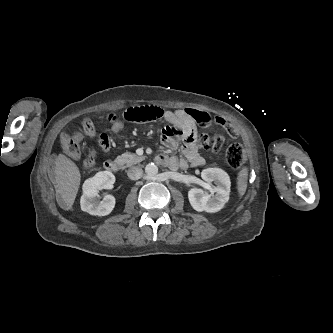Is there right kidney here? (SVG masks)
Masks as SVG:
<instances>
[{"label": "right kidney", "mask_w": 333, "mask_h": 333, "mask_svg": "<svg viewBox=\"0 0 333 333\" xmlns=\"http://www.w3.org/2000/svg\"><path fill=\"white\" fill-rule=\"evenodd\" d=\"M115 182V176L109 171H102L87 179L82 186L83 194L80 199L81 209L91 215L106 216L115 206V198L106 195L98 200L100 189H110Z\"/></svg>", "instance_id": "right-kidney-1"}]
</instances>
